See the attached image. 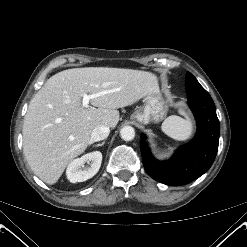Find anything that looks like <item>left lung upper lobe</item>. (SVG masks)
I'll use <instances>...</instances> for the list:
<instances>
[{"mask_svg": "<svg viewBox=\"0 0 247 247\" xmlns=\"http://www.w3.org/2000/svg\"><path fill=\"white\" fill-rule=\"evenodd\" d=\"M193 78H194V76L191 73H189V72L186 73V80H191Z\"/></svg>", "mask_w": 247, "mask_h": 247, "instance_id": "1", "label": "left lung upper lobe"}]
</instances>
